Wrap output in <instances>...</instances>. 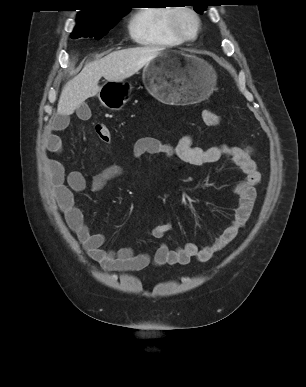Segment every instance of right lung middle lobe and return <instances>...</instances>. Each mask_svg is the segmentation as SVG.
<instances>
[{
    "mask_svg": "<svg viewBox=\"0 0 306 387\" xmlns=\"http://www.w3.org/2000/svg\"><path fill=\"white\" fill-rule=\"evenodd\" d=\"M129 10L130 8L125 7V10L119 14L103 19H77V26L72 33V37H93L95 39H101Z\"/></svg>",
    "mask_w": 306,
    "mask_h": 387,
    "instance_id": "1",
    "label": "right lung middle lobe"
}]
</instances>
